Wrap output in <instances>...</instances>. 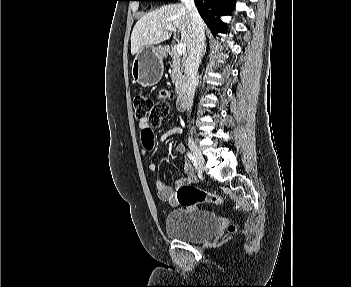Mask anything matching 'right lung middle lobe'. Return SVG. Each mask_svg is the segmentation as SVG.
Returning <instances> with one entry per match:
<instances>
[{
    "label": "right lung middle lobe",
    "mask_w": 351,
    "mask_h": 287,
    "mask_svg": "<svg viewBox=\"0 0 351 287\" xmlns=\"http://www.w3.org/2000/svg\"><path fill=\"white\" fill-rule=\"evenodd\" d=\"M137 1H169V0H137Z\"/></svg>",
    "instance_id": "dd1d6c3e"
}]
</instances>
